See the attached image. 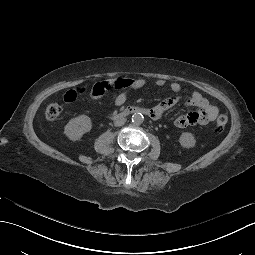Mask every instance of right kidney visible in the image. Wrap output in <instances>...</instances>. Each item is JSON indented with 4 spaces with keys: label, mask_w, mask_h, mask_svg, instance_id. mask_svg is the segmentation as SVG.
<instances>
[{
    "label": "right kidney",
    "mask_w": 255,
    "mask_h": 255,
    "mask_svg": "<svg viewBox=\"0 0 255 255\" xmlns=\"http://www.w3.org/2000/svg\"><path fill=\"white\" fill-rule=\"evenodd\" d=\"M81 125V127H79ZM92 129V121L86 115L76 116L68 121L64 127V134L66 137L75 142L82 139L85 133L90 132Z\"/></svg>",
    "instance_id": "1"
}]
</instances>
